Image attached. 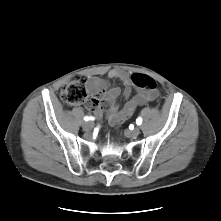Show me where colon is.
<instances>
[{
    "mask_svg": "<svg viewBox=\"0 0 221 221\" xmlns=\"http://www.w3.org/2000/svg\"><path fill=\"white\" fill-rule=\"evenodd\" d=\"M134 83L141 88L154 90L155 81L148 75H134ZM61 99L69 105H80L87 101L86 83L83 78H76L61 90ZM89 105V104H88Z\"/></svg>",
    "mask_w": 221,
    "mask_h": 221,
    "instance_id": "5ec220e1",
    "label": "colon"
}]
</instances>
